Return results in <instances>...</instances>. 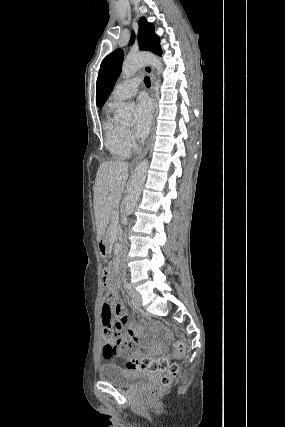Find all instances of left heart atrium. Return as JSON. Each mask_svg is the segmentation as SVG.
Masks as SVG:
<instances>
[{"mask_svg":"<svg viewBox=\"0 0 285 427\" xmlns=\"http://www.w3.org/2000/svg\"><path fill=\"white\" fill-rule=\"evenodd\" d=\"M152 118V110L150 102L141 97L137 100L135 105V132L137 136L144 137L149 130Z\"/></svg>","mask_w":285,"mask_h":427,"instance_id":"1","label":"left heart atrium"}]
</instances>
